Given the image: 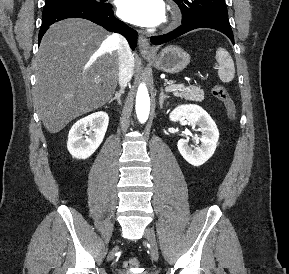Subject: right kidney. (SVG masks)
Wrapping results in <instances>:
<instances>
[{
  "mask_svg": "<svg viewBox=\"0 0 289 274\" xmlns=\"http://www.w3.org/2000/svg\"><path fill=\"white\" fill-rule=\"evenodd\" d=\"M109 117L106 112L99 111L78 120L68 134L67 148L77 159L89 158L102 143Z\"/></svg>",
  "mask_w": 289,
  "mask_h": 274,
  "instance_id": "right-kidney-1",
  "label": "right kidney"
}]
</instances>
